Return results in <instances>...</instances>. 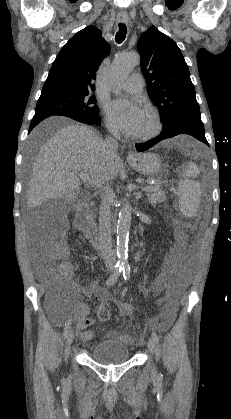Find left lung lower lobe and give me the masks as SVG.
Masks as SVG:
<instances>
[{
    "mask_svg": "<svg viewBox=\"0 0 231 419\" xmlns=\"http://www.w3.org/2000/svg\"><path fill=\"white\" fill-rule=\"evenodd\" d=\"M180 134H188L196 139L200 140L201 142L208 144L206 138H205V131H204V125L201 121L200 117H186L180 120L178 123L173 125L172 127H169L167 129H163L161 134L157 136L156 138L143 143V144H136L137 150L139 152L147 150L148 148L152 147L159 141L171 138L176 135Z\"/></svg>",
    "mask_w": 231,
    "mask_h": 419,
    "instance_id": "left-lung-lower-lobe-1",
    "label": "left lung lower lobe"
}]
</instances>
